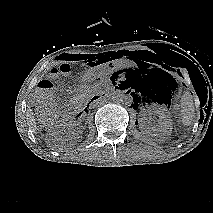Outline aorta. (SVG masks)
<instances>
[{"instance_id":"762f6f07","label":"aorta","mask_w":213,"mask_h":213,"mask_svg":"<svg viewBox=\"0 0 213 213\" xmlns=\"http://www.w3.org/2000/svg\"><path fill=\"white\" fill-rule=\"evenodd\" d=\"M109 99L114 104H121L125 99V95L120 91H115L110 95Z\"/></svg>"}]
</instances>
